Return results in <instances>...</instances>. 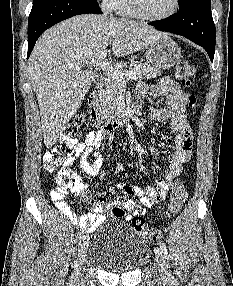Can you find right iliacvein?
<instances>
[{
    "label": "right iliac vein",
    "instance_id": "1",
    "mask_svg": "<svg viewBox=\"0 0 233 286\" xmlns=\"http://www.w3.org/2000/svg\"><path fill=\"white\" fill-rule=\"evenodd\" d=\"M87 247H88V237L83 236L82 239L79 241V245H78V254H77V260H76V273L77 274L79 270L81 269L82 264L85 261Z\"/></svg>",
    "mask_w": 233,
    "mask_h": 286
}]
</instances>
